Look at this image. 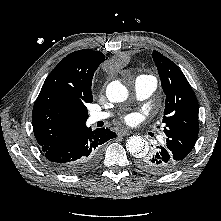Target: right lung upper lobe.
Wrapping results in <instances>:
<instances>
[{
    "label": "right lung upper lobe",
    "instance_id": "obj_1",
    "mask_svg": "<svg viewBox=\"0 0 221 221\" xmlns=\"http://www.w3.org/2000/svg\"><path fill=\"white\" fill-rule=\"evenodd\" d=\"M104 61L103 53L83 49L66 56L48 75L32 112L34 135L41 147L86 125L93 75Z\"/></svg>",
    "mask_w": 221,
    "mask_h": 221
}]
</instances>
